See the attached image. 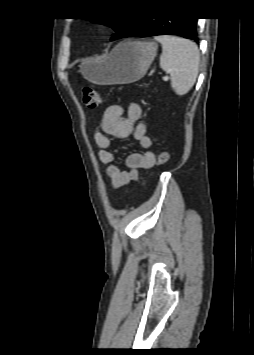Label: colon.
I'll return each mask as SVG.
<instances>
[{
  "label": "colon",
  "mask_w": 254,
  "mask_h": 355,
  "mask_svg": "<svg viewBox=\"0 0 254 355\" xmlns=\"http://www.w3.org/2000/svg\"><path fill=\"white\" fill-rule=\"evenodd\" d=\"M83 101L84 104L89 108H95L103 105L106 102L105 97L97 92L96 90L86 87L83 89ZM169 159V154L167 152H160L156 159V166H164ZM145 186V183H143Z\"/></svg>",
  "instance_id": "5ec220e1"
}]
</instances>
